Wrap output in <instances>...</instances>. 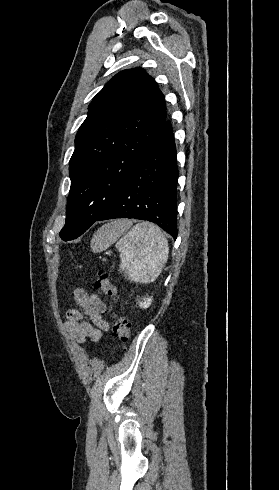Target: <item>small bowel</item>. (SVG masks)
Segmentation results:
<instances>
[{"label": "small bowel", "mask_w": 279, "mask_h": 490, "mask_svg": "<svg viewBox=\"0 0 279 490\" xmlns=\"http://www.w3.org/2000/svg\"><path fill=\"white\" fill-rule=\"evenodd\" d=\"M74 301L79 309H69L65 329L78 342L84 343L87 339L94 342L102 338L104 331H107L108 323L102 318V313L106 310L104 302L96 294H88L82 289L74 291ZM87 316L91 320H84Z\"/></svg>", "instance_id": "small-bowel-1"}]
</instances>
